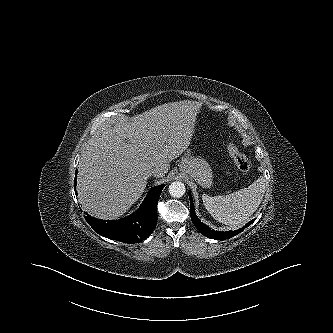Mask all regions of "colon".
<instances>
[{"label": "colon", "mask_w": 333, "mask_h": 333, "mask_svg": "<svg viewBox=\"0 0 333 333\" xmlns=\"http://www.w3.org/2000/svg\"><path fill=\"white\" fill-rule=\"evenodd\" d=\"M227 150L237 170L241 173H248L251 169V163L249 159L240 151V149L234 143H229Z\"/></svg>", "instance_id": "5ec220e1"}]
</instances>
